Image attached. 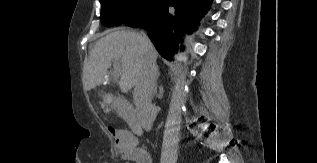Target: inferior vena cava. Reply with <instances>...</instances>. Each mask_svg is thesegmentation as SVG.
Listing matches in <instances>:
<instances>
[{
	"mask_svg": "<svg viewBox=\"0 0 317 163\" xmlns=\"http://www.w3.org/2000/svg\"><path fill=\"white\" fill-rule=\"evenodd\" d=\"M143 48L144 59L135 84L133 97L139 122L148 131L151 129L155 118L152 97L156 91L155 82L158 69L153 46L146 34H143Z\"/></svg>",
	"mask_w": 317,
	"mask_h": 163,
	"instance_id": "obj_1",
	"label": "inferior vena cava"
}]
</instances>
